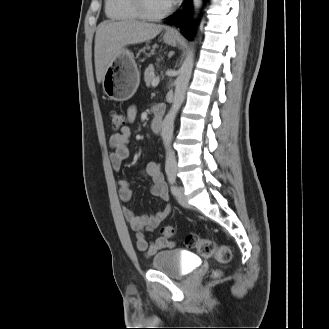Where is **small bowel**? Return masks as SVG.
Instances as JSON below:
<instances>
[{
  "label": "small bowel",
  "instance_id": "obj_1",
  "mask_svg": "<svg viewBox=\"0 0 329 329\" xmlns=\"http://www.w3.org/2000/svg\"><path fill=\"white\" fill-rule=\"evenodd\" d=\"M135 116V107H130L127 111L128 120L132 122L135 119ZM130 135L131 130L126 126L119 132L113 133L110 136L109 144L112 149L110 161L115 171L121 169L124 160L129 155ZM141 175L151 181L150 191L152 195L160 197L164 201L169 200V194L159 162L154 161L148 163L141 170ZM118 195L123 202L131 200L132 189L130 181L127 179H120L118 181ZM122 212L126 221L135 231L137 249L143 252L146 256H153L164 249L174 247V242L169 241L164 237L157 238L154 241L148 239V235L151 234L169 214V205L155 215L146 217L136 215L135 212L128 207H124Z\"/></svg>",
  "mask_w": 329,
  "mask_h": 329
}]
</instances>
